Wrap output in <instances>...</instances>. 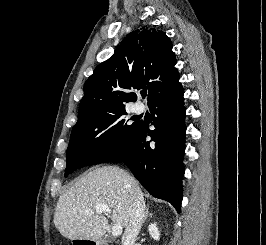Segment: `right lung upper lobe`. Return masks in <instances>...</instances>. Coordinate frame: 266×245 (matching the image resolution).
<instances>
[{"label":"right lung upper lobe","instance_id":"cb5924a9","mask_svg":"<svg viewBox=\"0 0 266 245\" xmlns=\"http://www.w3.org/2000/svg\"><path fill=\"white\" fill-rule=\"evenodd\" d=\"M175 53L165 32L141 28L129 33L114 54L99 64L84 84L78 121L125 109L136 100L131 89L146 88L148 103L179 81Z\"/></svg>","mask_w":266,"mask_h":245}]
</instances>
